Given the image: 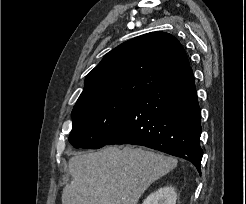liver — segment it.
Listing matches in <instances>:
<instances>
[{
    "instance_id": "1",
    "label": "liver",
    "mask_w": 246,
    "mask_h": 204,
    "mask_svg": "<svg viewBox=\"0 0 246 204\" xmlns=\"http://www.w3.org/2000/svg\"><path fill=\"white\" fill-rule=\"evenodd\" d=\"M177 163L171 156L131 146L71 157L72 180L63 188L62 204H137L145 190Z\"/></svg>"
}]
</instances>
